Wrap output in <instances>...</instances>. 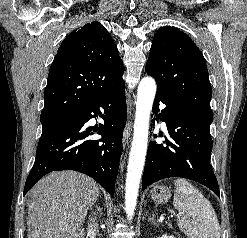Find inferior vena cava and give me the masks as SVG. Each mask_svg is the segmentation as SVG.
<instances>
[{
    "label": "inferior vena cava",
    "mask_w": 247,
    "mask_h": 238,
    "mask_svg": "<svg viewBox=\"0 0 247 238\" xmlns=\"http://www.w3.org/2000/svg\"><path fill=\"white\" fill-rule=\"evenodd\" d=\"M89 228L98 229V223H97L96 218H90Z\"/></svg>",
    "instance_id": "obj_1"
}]
</instances>
